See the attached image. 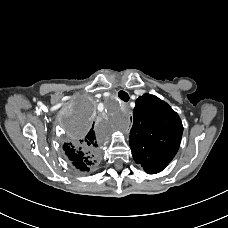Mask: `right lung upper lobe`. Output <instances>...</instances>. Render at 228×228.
I'll use <instances>...</instances> for the list:
<instances>
[{
    "label": "right lung upper lobe",
    "mask_w": 228,
    "mask_h": 228,
    "mask_svg": "<svg viewBox=\"0 0 228 228\" xmlns=\"http://www.w3.org/2000/svg\"><path fill=\"white\" fill-rule=\"evenodd\" d=\"M97 147L95 133L91 129L85 138L64 144L63 149L77 168L88 170L87 165L95 162L94 150Z\"/></svg>",
    "instance_id": "right-lung-upper-lobe-1"
}]
</instances>
